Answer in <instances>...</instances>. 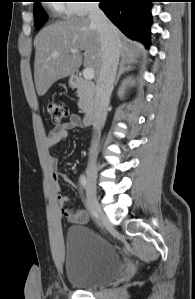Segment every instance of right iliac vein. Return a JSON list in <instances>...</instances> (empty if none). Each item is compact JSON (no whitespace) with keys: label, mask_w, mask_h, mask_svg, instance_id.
<instances>
[{"label":"right iliac vein","mask_w":195,"mask_h":299,"mask_svg":"<svg viewBox=\"0 0 195 299\" xmlns=\"http://www.w3.org/2000/svg\"><path fill=\"white\" fill-rule=\"evenodd\" d=\"M96 168L94 166H89L87 169V192L86 200L87 206L92 213V211L99 208V203L97 201V186H96Z\"/></svg>","instance_id":"obj_1"}]
</instances>
